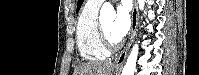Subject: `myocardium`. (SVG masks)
<instances>
[{
	"mask_svg": "<svg viewBox=\"0 0 199 75\" xmlns=\"http://www.w3.org/2000/svg\"><path fill=\"white\" fill-rule=\"evenodd\" d=\"M98 34L105 49L113 51L119 47V41L113 42L107 37L101 22L98 23Z\"/></svg>",
	"mask_w": 199,
	"mask_h": 75,
	"instance_id": "myocardium-1",
	"label": "myocardium"
}]
</instances>
